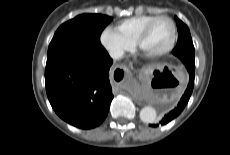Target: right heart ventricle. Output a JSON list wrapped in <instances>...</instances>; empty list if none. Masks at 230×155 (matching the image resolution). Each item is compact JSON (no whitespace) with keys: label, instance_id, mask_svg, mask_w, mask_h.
I'll return each instance as SVG.
<instances>
[{"label":"right heart ventricle","instance_id":"right-heart-ventricle-1","mask_svg":"<svg viewBox=\"0 0 230 155\" xmlns=\"http://www.w3.org/2000/svg\"><path fill=\"white\" fill-rule=\"evenodd\" d=\"M154 15H138L119 21L115 29L128 41L135 43L144 25L153 19Z\"/></svg>","mask_w":230,"mask_h":155}]
</instances>
